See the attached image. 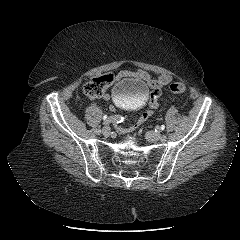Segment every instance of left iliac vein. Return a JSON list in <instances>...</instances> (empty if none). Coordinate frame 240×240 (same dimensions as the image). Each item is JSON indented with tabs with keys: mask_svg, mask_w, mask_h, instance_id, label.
Returning a JSON list of instances; mask_svg holds the SVG:
<instances>
[{
	"mask_svg": "<svg viewBox=\"0 0 240 240\" xmlns=\"http://www.w3.org/2000/svg\"><path fill=\"white\" fill-rule=\"evenodd\" d=\"M159 134L160 133H156V132H147L146 138L151 142H156L158 140H161L159 137ZM165 139H166V136H165ZM164 140H161V141H164Z\"/></svg>",
	"mask_w": 240,
	"mask_h": 240,
	"instance_id": "obj_1",
	"label": "left iliac vein"
}]
</instances>
